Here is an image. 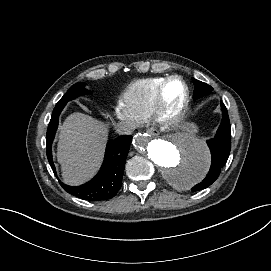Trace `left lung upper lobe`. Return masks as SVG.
<instances>
[{"mask_svg": "<svg viewBox=\"0 0 271 271\" xmlns=\"http://www.w3.org/2000/svg\"><path fill=\"white\" fill-rule=\"evenodd\" d=\"M193 83L195 84V90H194V100H196L199 97H203L204 95L209 94L213 88L201 81H198L194 78H192Z\"/></svg>", "mask_w": 271, "mask_h": 271, "instance_id": "1", "label": "left lung upper lobe"}]
</instances>
